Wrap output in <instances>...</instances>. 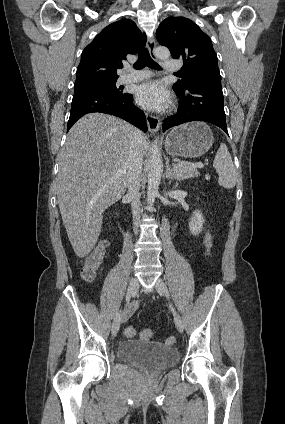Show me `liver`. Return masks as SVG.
<instances>
[{"instance_id":"1","label":"liver","mask_w":285,"mask_h":424,"mask_svg":"<svg viewBox=\"0 0 285 424\" xmlns=\"http://www.w3.org/2000/svg\"><path fill=\"white\" fill-rule=\"evenodd\" d=\"M137 129L103 113L79 119L59 153L57 197L63 224L78 257L88 255L100 235L103 212L125 194L131 140ZM143 155L149 142L141 133Z\"/></svg>"}]
</instances>
